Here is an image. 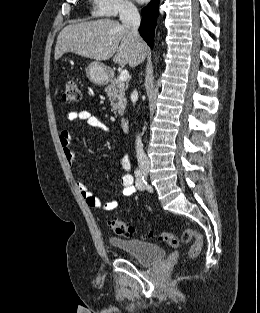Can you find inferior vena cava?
Segmentation results:
<instances>
[{
	"instance_id": "1",
	"label": "inferior vena cava",
	"mask_w": 260,
	"mask_h": 313,
	"mask_svg": "<svg viewBox=\"0 0 260 313\" xmlns=\"http://www.w3.org/2000/svg\"><path fill=\"white\" fill-rule=\"evenodd\" d=\"M119 16L122 24L131 29L136 39L139 38L138 28L140 25V14L136 6L130 2H124L119 10ZM137 161L140 167H149V160L143 150V143L140 136L136 138Z\"/></svg>"
}]
</instances>
